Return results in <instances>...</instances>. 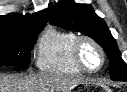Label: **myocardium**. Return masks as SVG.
<instances>
[{
    "instance_id": "1",
    "label": "myocardium",
    "mask_w": 127,
    "mask_h": 92,
    "mask_svg": "<svg viewBox=\"0 0 127 92\" xmlns=\"http://www.w3.org/2000/svg\"><path fill=\"white\" fill-rule=\"evenodd\" d=\"M84 43H90L92 44L100 53L101 55V65L99 68L95 70L88 69L85 64L83 63L82 57H81V48ZM72 58L75 63V65L83 72L86 73H97L99 72L106 63V53L103 49V47L92 37L90 36H78V38L75 40L72 48Z\"/></svg>"
}]
</instances>
